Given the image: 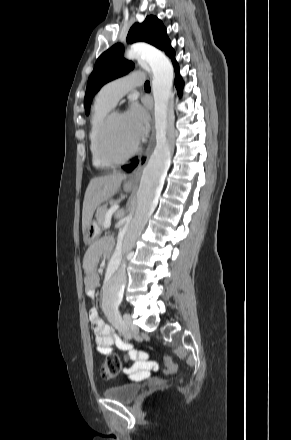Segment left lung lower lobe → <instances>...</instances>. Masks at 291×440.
Here are the masks:
<instances>
[{"label":"left lung lower lobe","mask_w":291,"mask_h":440,"mask_svg":"<svg viewBox=\"0 0 291 440\" xmlns=\"http://www.w3.org/2000/svg\"><path fill=\"white\" fill-rule=\"evenodd\" d=\"M173 61V65L175 68V72H176V78H175V86L178 90L179 95H181V90L182 87L184 85L183 80L179 74V66L178 63L176 62V60H172ZM138 165V160H135L133 163L129 164V165H124L122 166V169L127 171V172H131L132 170H134Z\"/></svg>","instance_id":"1"}]
</instances>
